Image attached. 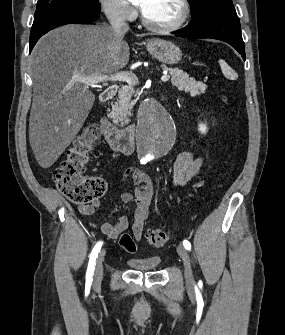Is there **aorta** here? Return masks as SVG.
<instances>
[{"mask_svg":"<svg viewBox=\"0 0 285 335\" xmlns=\"http://www.w3.org/2000/svg\"><path fill=\"white\" fill-rule=\"evenodd\" d=\"M139 112L140 125L133 127V134L138 137L137 147H142L141 156L144 160H162L171 147H176L177 119H171L162 100H141Z\"/></svg>","mask_w":285,"mask_h":335,"instance_id":"762f6f07","label":"aorta"}]
</instances>
